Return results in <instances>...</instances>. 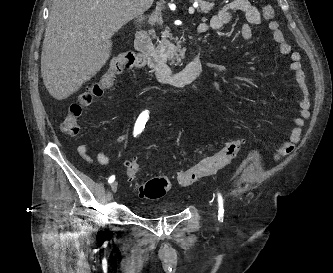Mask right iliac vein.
Listing matches in <instances>:
<instances>
[{"label": "right iliac vein", "mask_w": 333, "mask_h": 273, "mask_svg": "<svg viewBox=\"0 0 333 273\" xmlns=\"http://www.w3.org/2000/svg\"><path fill=\"white\" fill-rule=\"evenodd\" d=\"M117 188H118V182L117 181H114L112 184H111V190L113 193H115L117 191Z\"/></svg>", "instance_id": "obj_1"}]
</instances>
